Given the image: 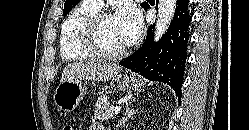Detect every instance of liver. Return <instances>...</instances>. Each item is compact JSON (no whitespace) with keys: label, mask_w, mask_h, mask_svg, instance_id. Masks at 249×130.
Listing matches in <instances>:
<instances>
[{"label":"liver","mask_w":249,"mask_h":130,"mask_svg":"<svg viewBox=\"0 0 249 130\" xmlns=\"http://www.w3.org/2000/svg\"><path fill=\"white\" fill-rule=\"evenodd\" d=\"M121 70L120 66L95 60L75 62L64 68L60 82L69 80L107 81L114 78Z\"/></svg>","instance_id":"obj_1"}]
</instances>
